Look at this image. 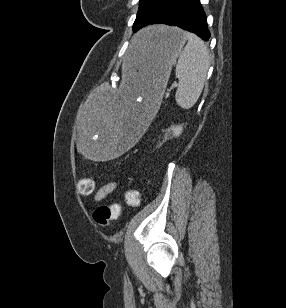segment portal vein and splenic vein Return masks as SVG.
I'll return each instance as SVG.
<instances>
[{
  "mask_svg": "<svg viewBox=\"0 0 286 308\" xmlns=\"http://www.w3.org/2000/svg\"><path fill=\"white\" fill-rule=\"evenodd\" d=\"M175 87H177V84H174V85L172 86V88H175Z\"/></svg>",
  "mask_w": 286,
  "mask_h": 308,
  "instance_id": "obj_1",
  "label": "portal vein and splenic vein"
}]
</instances>
